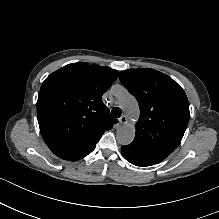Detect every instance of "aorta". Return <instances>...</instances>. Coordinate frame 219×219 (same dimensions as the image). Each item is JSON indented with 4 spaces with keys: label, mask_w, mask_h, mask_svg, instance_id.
Listing matches in <instances>:
<instances>
[{
    "label": "aorta",
    "mask_w": 219,
    "mask_h": 219,
    "mask_svg": "<svg viewBox=\"0 0 219 219\" xmlns=\"http://www.w3.org/2000/svg\"><path fill=\"white\" fill-rule=\"evenodd\" d=\"M117 100L120 108L128 115L131 120L139 117V106L136 99L125 89H117ZM135 138V124L127 123L117 130L116 139L121 145H129Z\"/></svg>",
    "instance_id": "obj_1"
}]
</instances>
